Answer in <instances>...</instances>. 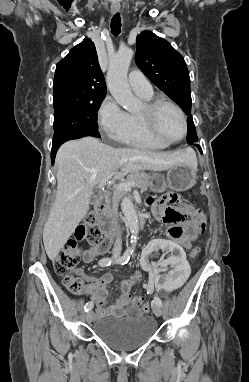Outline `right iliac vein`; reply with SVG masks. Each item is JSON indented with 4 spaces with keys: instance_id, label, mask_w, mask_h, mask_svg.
<instances>
[{
    "instance_id": "63e3f726",
    "label": "right iliac vein",
    "mask_w": 249,
    "mask_h": 382,
    "mask_svg": "<svg viewBox=\"0 0 249 382\" xmlns=\"http://www.w3.org/2000/svg\"><path fill=\"white\" fill-rule=\"evenodd\" d=\"M94 318V312L93 311H89L87 312V314L85 315V320L86 322L90 323Z\"/></svg>"
}]
</instances>
